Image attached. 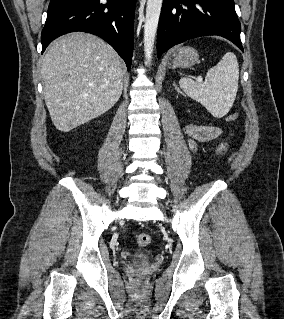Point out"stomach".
I'll return each mask as SVG.
<instances>
[{"label":"stomach","instance_id":"obj_1","mask_svg":"<svg viewBox=\"0 0 284 319\" xmlns=\"http://www.w3.org/2000/svg\"><path fill=\"white\" fill-rule=\"evenodd\" d=\"M199 61L198 52L192 47H181L167 59L169 68H190Z\"/></svg>","mask_w":284,"mask_h":319}]
</instances>
